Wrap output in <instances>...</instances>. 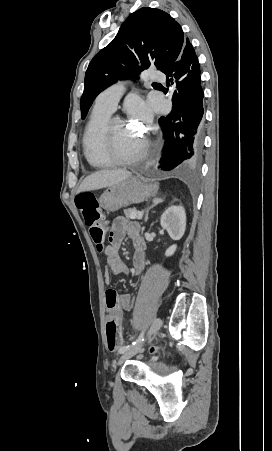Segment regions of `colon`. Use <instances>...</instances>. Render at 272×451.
<instances>
[{
    "label": "colon",
    "mask_w": 272,
    "mask_h": 451,
    "mask_svg": "<svg viewBox=\"0 0 272 451\" xmlns=\"http://www.w3.org/2000/svg\"><path fill=\"white\" fill-rule=\"evenodd\" d=\"M76 206L80 209L85 224L90 228V235L98 250L103 249L104 234L100 226L103 215L99 208V200L90 193H82L75 198ZM106 347L109 352H114L122 346L119 336V325L115 320L107 319L105 324ZM143 350V349H142ZM153 350V349H151Z\"/></svg>",
    "instance_id": "5ec220e1"
}]
</instances>
